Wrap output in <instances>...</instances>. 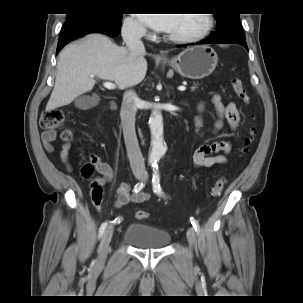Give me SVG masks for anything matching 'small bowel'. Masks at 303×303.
Returning a JSON list of instances; mask_svg holds the SVG:
<instances>
[{
	"label": "small bowel",
	"instance_id": "c3829d8e",
	"mask_svg": "<svg viewBox=\"0 0 303 303\" xmlns=\"http://www.w3.org/2000/svg\"><path fill=\"white\" fill-rule=\"evenodd\" d=\"M212 103L215 105L217 111V116L213 124L214 130H220L225 121L230 124L232 130H236L241 120V115L236 105L234 103L224 105L218 95H215L212 98ZM203 111V104H198L194 118L196 132H200L203 127ZM57 136L58 132L55 129L47 130L42 133V144L47 152H54L53 142L56 140ZM230 151L231 143L229 141L219 140L216 137H211L208 144L201 145L195 149L192 155V164L195 167L207 169L213 168L220 164H226L227 154ZM69 153L70 145L67 143L63 144L59 152V157L66 168L71 170L72 167L69 163ZM97 167L100 173L97 180L102 186H105L112 180L113 170L109 164L99 160L97 161ZM115 196L116 204L118 206H124L128 203H139L148 199L147 193L142 191L134 192L130 183H122L116 189Z\"/></svg>",
	"mask_w": 303,
	"mask_h": 303
}]
</instances>
